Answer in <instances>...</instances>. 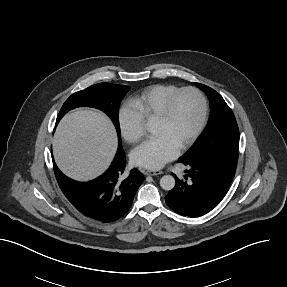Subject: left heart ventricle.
Instances as JSON below:
<instances>
[{
	"label": "left heart ventricle",
	"mask_w": 287,
	"mask_h": 287,
	"mask_svg": "<svg viewBox=\"0 0 287 287\" xmlns=\"http://www.w3.org/2000/svg\"><path fill=\"white\" fill-rule=\"evenodd\" d=\"M200 103L193 93L181 95L175 102L171 116L165 123L155 122V136H165L178 148L188 139L200 119Z\"/></svg>",
	"instance_id": "b2bd125f"
}]
</instances>
